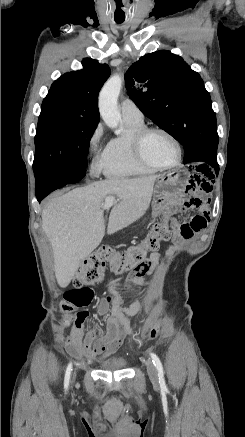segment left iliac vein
<instances>
[{"label":"left iliac vein","mask_w":245,"mask_h":437,"mask_svg":"<svg viewBox=\"0 0 245 437\" xmlns=\"http://www.w3.org/2000/svg\"><path fill=\"white\" fill-rule=\"evenodd\" d=\"M146 367H147V372H148V375H149L151 382L153 383V385L157 386L158 385V376H157V371H156V368H155L153 362L151 360H147Z\"/></svg>","instance_id":"4c4485c4"}]
</instances>
